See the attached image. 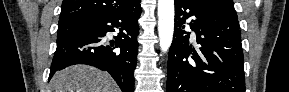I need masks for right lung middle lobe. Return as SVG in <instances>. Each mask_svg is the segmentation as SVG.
<instances>
[{"label":"right lung middle lobe","mask_w":289,"mask_h":92,"mask_svg":"<svg viewBox=\"0 0 289 92\" xmlns=\"http://www.w3.org/2000/svg\"><path fill=\"white\" fill-rule=\"evenodd\" d=\"M84 25L85 23L58 25L57 40H61L69 35L78 32L80 29L84 27Z\"/></svg>","instance_id":"dd1d6c3e"}]
</instances>
